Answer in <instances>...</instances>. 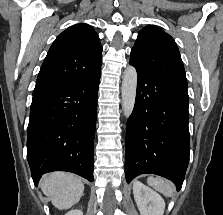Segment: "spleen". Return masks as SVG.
Returning a JSON list of instances; mask_svg holds the SVG:
<instances>
[{
    "mask_svg": "<svg viewBox=\"0 0 223 215\" xmlns=\"http://www.w3.org/2000/svg\"><path fill=\"white\" fill-rule=\"evenodd\" d=\"M147 181L149 185H152V187H155L157 191H161L164 195H170L171 197L175 191L174 185L167 179H163V177H148Z\"/></svg>",
    "mask_w": 223,
    "mask_h": 215,
    "instance_id": "obj_1",
    "label": "spleen"
}]
</instances>
